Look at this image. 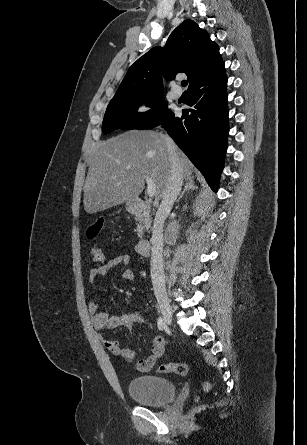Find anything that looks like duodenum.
<instances>
[{"label":"duodenum","instance_id":"410a0bca","mask_svg":"<svg viewBox=\"0 0 307 445\" xmlns=\"http://www.w3.org/2000/svg\"><path fill=\"white\" fill-rule=\"evenodd\" d=\"M150 209V205L140 198L131 200L128 205L129 212L139 217L145 216L150 211ZM150 249L151 243L148 238H143L142 240H140L136 247L137 252L142 256H147L150 253Z\"/></svg>","mask_w":307,"mask_h":445}]
</instances>
